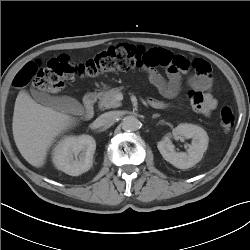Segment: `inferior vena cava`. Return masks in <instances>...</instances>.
I'll return each mask as SVG.
<instances>
[{
  "mask_svg": "<svg viewBox=\"0 0 250 250\" xmlns=\"http://www.w3.org/2000/svg\"><path fill=\"white\" fill-rule=\"evenodd\" d=\"M116 114L115 112H106L104 114H101L95 121H94V126L96 128L100 127H106L110 125L114 120H115Z\"/></svg>",
  "mask_w": 250,
  "mask_h": 250,
  "instance_id": "602c4592",
  "label": "inferior vena cava"
}]
</instances>
